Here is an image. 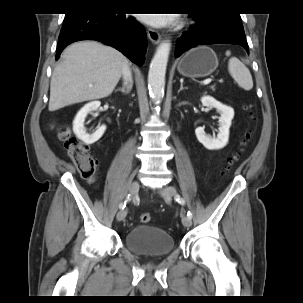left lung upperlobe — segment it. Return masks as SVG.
<instances>
[{
  "mask_svg": "<svg viewBox=\"0 0 303 303\" xmlns=\"http://www.w3.org/2000/svg\"><path fill=\"white\" fill-rule=\"evenodd\" d=\"M193 15H202L210 22L241 23V17L240 14L238 13H230V12L215 10L211 13L193 14Z\"/></svg>",
  "mask_w": 303,
  "mask_h": 303,
  "instance_id": "left-lung-upper-lobe-1",
  "label": "left lung upper lobe"
}]
</instances>
